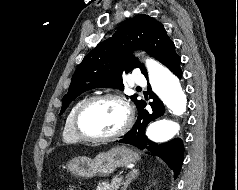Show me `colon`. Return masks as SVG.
Listing matches in <instances>:
<instances>
[{
	"label": "colon",
	"mask_w": 238,
	"mask_h": 190,
	"mask_svg": "<svg viewBox=\"0 0 238 190\" xmlns=\"http://www.w3.org/2000/svg\"><path fill=\"white\" fill-rule=\"evenodd\" d=\"M67 190H77L75 187H69Z\"/></svg>",
	"instance_id": "colon-1"
}]
</instances>
